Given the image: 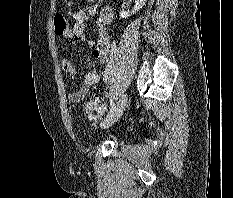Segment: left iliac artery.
Here are the masks:
<instances>
[{"label":"left iliac artery","instance_id":"obj_1","mask_svg":"<svg viewBox=\"0 0 233 198\" xmlns=\"http://www.w3.org/2000/svg\"><path fill=\"white\" fill-rule=\"evenodd\" d=\"M114 109H115V104H114V102H113V100L111 98L110 99V110H109V112H108V114H107L106 117H108L114 111Z\"/></svg>","mask_w":233,"mask_h":198}]
</instances>
